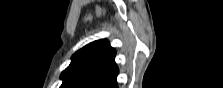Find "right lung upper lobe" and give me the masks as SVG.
I'll return each mask as SVG.
<instances>
[{
	"instance_id": "cb5924a9",
	"label": "right lung upper lobe",
	"mask_w": 223,
	"mask_h": 88,
	"mask_svg": "<svg viewBox=\"0 0 223 88\" xmlns=\"http://www.w3.org/2000/svg\"><path fill=\"white\" fill-rule=\"evenodd\" d=\"M115 54L107 40L86 45L72 56L61 74V88H117Z\"/></svg>"
}]
</instances>
